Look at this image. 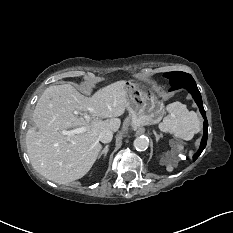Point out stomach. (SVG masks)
I'll return each mask as SVG.
<instances>
[{"mask_svg":"<svg viewBox=\"0 0 233 233\" xmlns=\"http://www.w3.org/2000/svg\"><path fill=\"white\" fill-rule=\"evenodd\" d=\"M125 89L127 110L134 126L156 124L162 119L165 106L155 91L147 89L135 79L125 81Z\"/></svg>","mask_w":233,"mask_h":233,"instance_id":"obj_1","label":"stomach"}]
</instances>
